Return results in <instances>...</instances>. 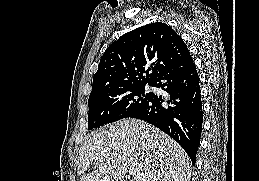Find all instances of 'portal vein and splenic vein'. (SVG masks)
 <instances>
[{"mask_svg":"<svg viewBox=\"0 0 259 181\" xmlns=\"http://www.w3.org/2000/svg\"><path fill=\"white\" fill-rule=\"evenodd\" d=\"M138 172H137V170L136 169H134V168H130L129 169V174H131V175H136Z\"/></svg>","mask_w":259,"mask_h":181,"instance_id":"18ae733b","label":"portal vein and splenic vein"}]
</instances>
